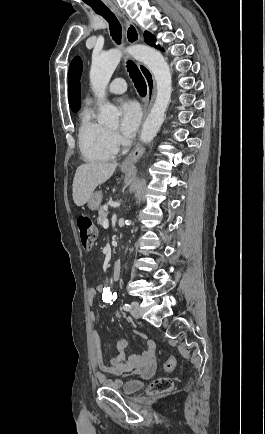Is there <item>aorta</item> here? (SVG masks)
Wrapping results in <instances>:
<instances>
[{
  "label": "aorta",
  "instance_id": "762f6f07",
  "mask_svg": "<svg viewBox=\"0 0 265 434\" xmlns=\"http://www.w3.org/2000/svg\"><path fill=\"white\" fill-rule=\"evenodd\" d=\"M123 54H130L135 60L143 62L153 74L156 82V98L153 108L142 128L140 134L141 142L149 144L157 136L165 120V112L171 102L172 76L170 68L160 52L149 48V46H129L125 50H109L100 56H92L90 70V84L93 92L101 98L105 96V90L115 72ZM119 112L115 106L106 102L100 106L99 122L107 126H118Z\"/></svg>",
  "mask_w": 265,
  "mask_h": 434
}]
</instances>
